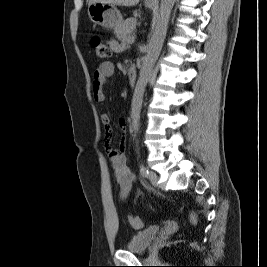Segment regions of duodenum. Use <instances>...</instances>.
Wrapping results in <instances>:
<instances>
[{"label": "duodenum", "mask_w": 267, "mask_h": 267, "mask_svg": "<svg viewBox=\"0 0 267 267\" xmlns=\"http://www.w3.org/2000/svg\"><path fill=\"white\" fill-rule=\"evenodd\" d=\"M128 78L131 84H134L137 79V69L134 65L128 68Z\"/></svg>", "instance_id": "1"}]
</instances>
